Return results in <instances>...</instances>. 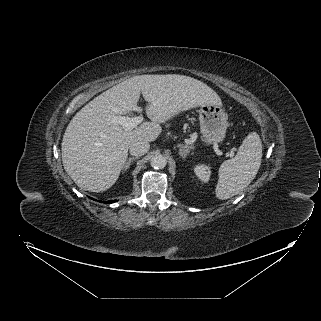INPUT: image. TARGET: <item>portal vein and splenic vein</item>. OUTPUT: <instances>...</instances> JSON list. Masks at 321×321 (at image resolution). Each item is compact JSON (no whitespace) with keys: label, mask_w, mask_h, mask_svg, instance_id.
<instances>
[{"label":"portal vein and splenic vein","mask_w":321,"mask_h":321,"mask_svg":"<svg viewBox=\"0 0 321 321\" xmlns=\"http://www.w3.org/2000/svg\"><path fill=\"white\" fill-rule=\"evenodd\" d=\"M142 121H143V117L141 116L132 117V118L127 116H113L111 118V122L113 124L121 125V127L126 131L132 130L137 125H139Z\"/></svg>","instance_id":"1"}]
</instances>
